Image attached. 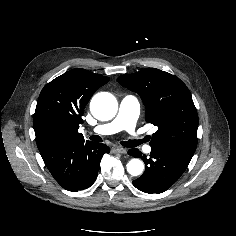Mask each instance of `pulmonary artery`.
<instances>
[{"label":"pulmonary artery","mask_w":236,"mask_h":236,"mask_svg":"<svg viewBox=\"0 0 236 236\" xmlns=\"http://www.w3.org/2000/svg\"><path fill=\"white\" fill-rule=\"evenodd\" d=\"M140 112L138 99L133 95L125 96L119 105L118 114L111 122L98 125L93 128L97 134L109 135L125 130L136 136L135 127ZM145 152L150 153L151 147L145 146Z\"/></svg>","instance_id":"1"}]
</instances>
